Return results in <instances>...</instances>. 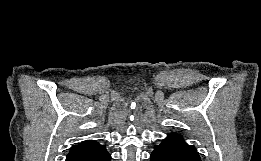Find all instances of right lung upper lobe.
Segmentation results:
<instances>
[{
    "mask_svg": "<svg viewBox=\"0 0 261 161\" xmlns=\"http://www.w3.org/2000/svg\"><path fill=\"white\" fill-rule=\"evenodd\" d=\"M98 143L92 141V140H87V141H84L83 143L79 144V145H74L71 150H79V149H84V148H87V147H91V146H94V145H97Z\"/></svg>",
    "mask_w": 261,
    "mask_h": 161,
    "instance_id": "right-lung-upper-lobe-1",
    "label": "right lung upper lobe"
}]
</instances>
